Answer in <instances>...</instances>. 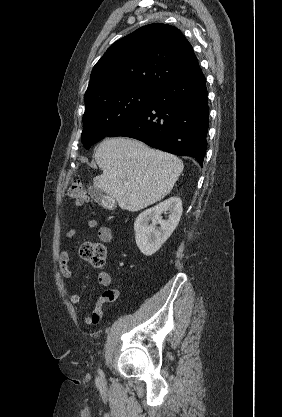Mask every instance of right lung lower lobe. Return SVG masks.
Returning <instances> with one entry per match:
<instances>
[{"label":"right lung lower lobe","mask_w":282,"mask_h":417,"mask_svg":"<svg viewBox=\"0 0 282 417\" xmlns=\"http://www.w3.org/2000/svg\"><path fill=\"white\" fill-rule=\"evenodd\" d=\"M209 107L200 68L158 88L149 103L108 137L125 136L181 156L201 166L207 149Z\"/></svg>","instance_id":"obj_1"}]
</instances>
